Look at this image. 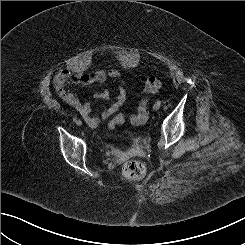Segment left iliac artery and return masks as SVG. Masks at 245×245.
I'll use <instances>...</instances> for the list:
<instances>
[{
    "instance_id": "left-iliac-artery-1",
    "label": "left iliac artery",
    "mask_w": 245,
    "mask_h": 245,
    "mask_svg": "<svg viewBox=\"0 0 245 245\" xmlns=\"http://www.w3.org/2000/svg\"><path fill=\"white\" fill-rule=\"evenodd\" d=\"M156 103H157L158 105H161V101H160V100H158Z\"/></svg>"
}]
</instances>
